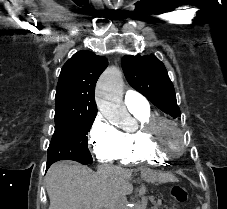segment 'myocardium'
<instances>
[{"label":"myocardium","mask_w":227,"mask_h":209,"mask_svg":"<svg viewBox=\"0 0 227 209\" xmlns=\"http://www.w3.org/2000/svg\"><path fill=\"white\" fill-rule=\"evenodd\" d=\"M163 123L170 124L178 134L183 138V146L180 149H165L157 139V130ZM140 135L144 143L153 151L163 155L166 158L179 156L186 152L189 146V140L186 132L180 124L169 117L161 115H152L140 125Z\"/></svg>","instance_id":"myocardium-1"}]
</instances>
